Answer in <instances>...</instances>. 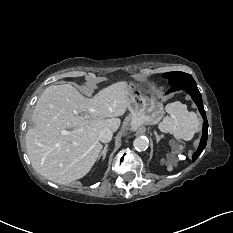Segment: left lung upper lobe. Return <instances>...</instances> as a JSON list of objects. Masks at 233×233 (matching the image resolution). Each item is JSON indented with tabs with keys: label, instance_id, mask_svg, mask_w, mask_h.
Instances as JSON below:
<instances>
[{
	"label": "left lung upper lobe",
	"instance_id": "obj_1",
	"mask_svg": "<svg viewBox=\"0 0 233 233\" xmlns=\"http://www.w3.org/2000/svg\"><path fill=\"white\" fill-rule=\"evenodd\" d=\"M164 78H167L169 80L170 86H173L175 84L185 82V81H194L193 77L187 73L184 72H169L163 74Z\"/></svg>",
	"mask_w": 233,
	"mask_h": 233
}]
</instances>
